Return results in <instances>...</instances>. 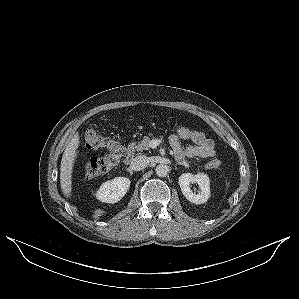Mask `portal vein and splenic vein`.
<instances>
[{"label": "portal vein and splenic vein", "instance_id": "obj_1", "mask_svg": "<svg viewBox=\"0 0 299 299\" xmlns=\"http://www.w3.org/2000/svg\"><path fill=\"white\" fill-rule=\"evenodd\" d=\"M159 145L158 141L154 140L152 142H150V147L151 148H156Z\"/></svg>", "mask_w": 299, "mask_h": 299}]
</instances>
